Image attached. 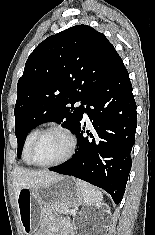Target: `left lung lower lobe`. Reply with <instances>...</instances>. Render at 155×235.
<instances>
[{
    "mask_svg": "<svg viewBox=\"0 0 155 235\" xmlns=\"http://www.w3.org/2000/svg\"><path fill=\"white\" fill-rule=\"evenodd\" d=\"M84 112L93 131L84 137L81 119L74 130L78 143L74 156L49 170L98 186L120 203L132 165L130 153L137 127L132 85L121 58L91 95Z\"/></svg>",
    "mask_w": 155,
    "mask_h": 235,
    "instance_id": "left-lung-lower-lobe-1",
    "label": "left lung lower lobe"
}]
</instances>
